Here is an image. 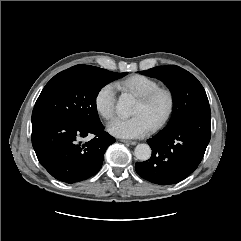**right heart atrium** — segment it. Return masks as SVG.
I'll return each instance as SVG.
<instances>
[{
    "label": "right heart atrium",
    "mask_w": 241,
    "mask_h": 241,
    "mask_svg": "<svg viewBox=\"0 0 241 241\" xmlns=\"http://www.w3.org/2000/svg\"><path fill=\"white\" fill-rule=\"evenodd\" d=\"M95 108L105 120H110L115 114L116 94L112 85L101 87L95 96Z\"/></svg>",
    "instance_id": "1"
}]
</instances>
